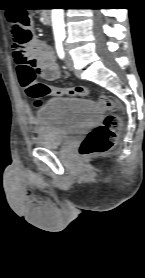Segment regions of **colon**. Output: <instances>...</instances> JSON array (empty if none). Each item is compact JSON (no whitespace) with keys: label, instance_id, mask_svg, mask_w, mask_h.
Here are the masks:
<instances>
[{"label":"colon","instance_id":"5ec220e1","mask_svg":"<svg viewBox=\"0 0 145 278\" xmlns=\"http://www.w3.org/2000/svg\"><path fill=\"white\" fill-rule=\"evenodd\" d=\"M9 28L14 43L22 48H29L33 42L31 32V18L27 11L18 10L7 16ZM22 88L29 97L35 100V105L40 106L42 99L50 96H80L88 94L86 87L58 88L48 86L31 74L21 81ZM99 104L106 110H116L118 105L110 95H101ZM122 121L118 114H108L103 122L90 129L79 145V153L83 157H91L109 151L117 141V134Z\"/></svg>","mask_w":145,"mask_h":278}]
</instances>
